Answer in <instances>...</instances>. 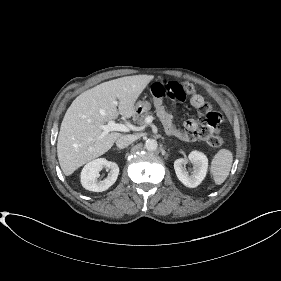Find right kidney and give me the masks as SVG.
<instances>
[{"mask_svg": "<svg viewBox=\"0 0 281 281\" xmlns=\"http://www.w3.org/2000/svg\"><path fill=\"white\" fill-rule=\"evenodd\" d=\"M103 168L109 170V174L104 180L98 181L99 172ZM118 175L119 166L115 162L107 161L105 158H98L84 166L81 172V183L89 191L102 192L116 182Z\"/></svg>", "mask_w": 281, "mask_h": 281, "instance_id": "ca27d5eb", "label": "right kidney"}]
</instances>
